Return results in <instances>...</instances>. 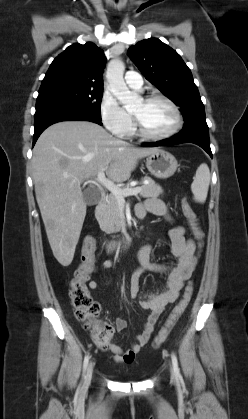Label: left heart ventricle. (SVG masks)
Wrapping results in <instances>:
<instances>
[{"label": "left heart ventricle", "instance_id": "b2bd125f", "mask_svg": "<svg viewBox=\"0 0 248 419\" xmlns=\"http://www.w3.org/2000/svg\"><path fill=\"white\" fill-rule=\"evenodd\" d=\"M143 128L151 134H163L169 131L175 123L172 109L163 101L144 102L140 100L132 110Z\"/></svg>", "mask_w": 248, "mask_h": 419}]
</instances>
